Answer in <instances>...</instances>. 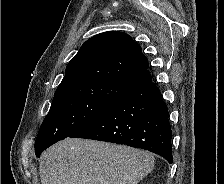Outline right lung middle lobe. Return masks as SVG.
<instances>
[{
  "label": "right lung middle lobe",
  "instance_id": "obj_1",
  "mask_svg": "<svg viewBox=\"0 0 224 184\" xmlns=\"http://www.w3.org/2000/svg\"><path fill=\"white\" fill-rule=\"evenodd\" d=\"M129 89L109 81H88L55 94L35 141L36 156L96 119Z\"/></svg>",
  "mask_w": 224,
  "mask_h": 184
}]
</instances>
